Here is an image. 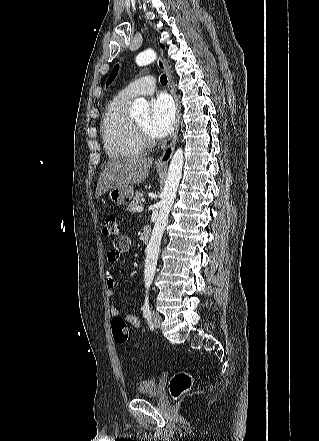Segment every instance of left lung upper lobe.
I'll list each match as a JSON object with an SVG mask.
<instances>
[{
  "label": "left lung upper lobe",
  "instance_id": "1",
  "mask_svg": "<svg viewBox=\"0 0 319 441\" xmlns=\"http://www.w3.org/2000/svg\"><path fill=\"white\" fill-rule=\"evenodd\" d=\"M160 46L161 47H163L164 48V46L162 45V44H160ZM118 65H116L115 67H114V69L112 70V72H111V74H110V76H109V78H108V80H107V84H106V87L114 80V78L116 77V75H117V72H118Z\"/></svg>",
  "mask_w": 319,
  "mask_h": 441
}]
</instances>
